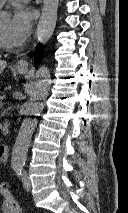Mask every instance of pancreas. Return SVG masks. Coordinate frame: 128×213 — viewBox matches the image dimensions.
Returning a JSON list of instances; mask_svg holds the SVG:
<instances>
[{
	"label": "pancreas",
	"mask_w": 128,
	"mask_h": 213,
	"mask_svg": "<svg viewBox=\"0 0 128 213\" xmlns=\"http://www.w3.org/2000/svg\"><path fill=\"white\" fill-rule=\"evenodd\" d=\"M0 101H1V97H0ZM2 132L4 135H7L9 133L7 124H5L4 127L2 128Z\"/></svg>",
	"instance_id": "obj_1"
}]
</instances>
